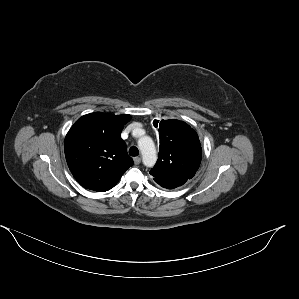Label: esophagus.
Returning <instances> with one entry per match:
<instances>
[{
	"label": "esophagus",
	"instance_id": "esophagus-1",
	"mask_svg": "<svg viewBox=\"0 0 299 299\" xmlns=\"http://www.w3.org/2000/svg\"><path fill=\"white\" fill-rule=\"evenodd\" d=\"M133 160H134L135 165H138L141 162V158L140 157H134Z\"/></svg>",
	"mask_w": 299,
	"mask_h": 299
}]
</instances>
